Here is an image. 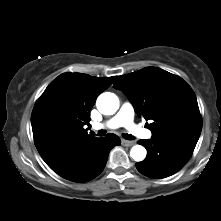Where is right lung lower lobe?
I'll return each mask as SVG.
<instances>
[{
	"label": "right lung lower lobe",
	"instance_id": "right-lung-lower-lobe-1",
	"mask_svg": "<svg viewBox=\"0 0 221 221\" xmlns=\"http://www.w3.org/2000/svg\"><path fill=\"white\" fill-rule=\"evenodd\" d=\"M120 143L115 134H108L105 138L94 137L57 151L43 160L61 177L73 182H87L103 171L110 150Z\"/></svg>",
	"mask_w": 221,
	"mask_h": 221
}]
</instances>
